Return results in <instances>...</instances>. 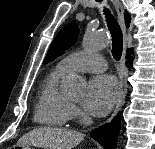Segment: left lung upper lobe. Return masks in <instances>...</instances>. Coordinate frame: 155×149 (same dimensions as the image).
<instances>
[{
	"label": "left lung upper lobe",
	"mask_w": 155,
	"mask_h": 149,
	"mask_svg": "<svg viewBox=\"0 0 155 149\" xmlns=\"http://www.w3.org/2000/svg\"><path fill=\"white\" fill-rule=\"evenodd\" d=\"M78 27L76 24L65 26L55 37L50 46L44 64L53 61L57 56H60L66 49L70 48L77 40Z\"/></svg>",
	"instance_id": "1"
}]
</instances>
